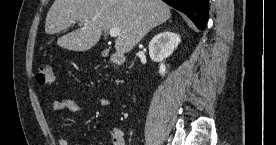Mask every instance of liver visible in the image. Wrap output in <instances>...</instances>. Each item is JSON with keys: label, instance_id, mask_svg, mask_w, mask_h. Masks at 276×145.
<instances>
[{"label": "liver", "instance_id": "liver-1", "mask_svg": "<svg viewBox=\"0 0 276 145\" xmlns=\"http://www.w3.org/2000/svg\"><path fill=\"white\" fill-rule=\"evenodd\" d=\"M170 17V7L161 0H55L46 16L45 32L52 35L79 22L80 28L60 37L57 44L87 51L97 44L103 30L117 27L120 35L115 49L124 54Z\"/></svg>", "mask_w": 276, "mask_h": 145}]
</instances>
